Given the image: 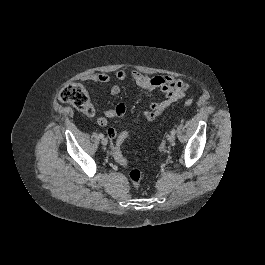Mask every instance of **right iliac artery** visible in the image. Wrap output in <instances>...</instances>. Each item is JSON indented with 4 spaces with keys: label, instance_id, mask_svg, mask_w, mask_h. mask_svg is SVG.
Wrapping results in <instances>:
<instances>
[{
    "label": "right iliac artery",
    "instance_id": "82829eb1",
    "mask_svg": "<svg viewBox=\"0 0 265 265\" xmlns=\"http://www.w3.org/2000/svg\"><path fill=\"white\" fill-rule=\"evenodd\" d=\"M99 138H104V135L102 133H100Z\"/></svg>",
    "mask_w": 265,
    "mask_h": 265
}]
</instances>
